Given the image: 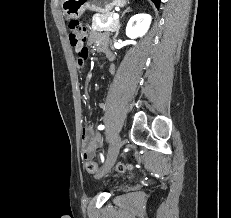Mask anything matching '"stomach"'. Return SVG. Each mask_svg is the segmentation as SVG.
<instances>
[{
	"label": "stomach",
	"mask_w": 231,
	"mask_h": 218,
	"mask_svg": "<svg viewBox=\"0 0 231 218\" xmlns=\"http://www.w3.org/2000/svg\"><path fill=\"white\" fill-rule=\"evenodd\" d=\"M127 0H63L62 9L70 19H78L86 9L108 13L114 7H124Z\"/></svg>",
	"instance_id": "stomach-1"
}]
</instances>
